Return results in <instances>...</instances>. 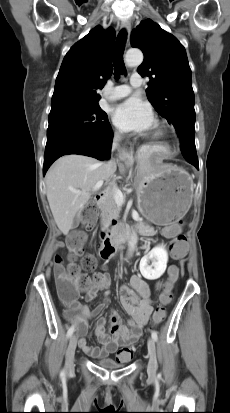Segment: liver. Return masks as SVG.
Returning <instances> with one entry per match:
<instances>
[{"label":"liver","mask_w":230,"mask_h":413,"mask_svg":"<svg viewBox=\"0 0 230 413\" xmlns=\"http://www.w3.org/2000/svg\"><path fill=\"white\" fill-rule=\"evenodd\" d=\"M104 162L95 158L70 154L59 158L46 174L47 199L55 223L67 235L75 215L90 199V191L102 180L108 182L114 172L104 168ZM88 192L76 194L71 190Z\"/></svg>","instance_id":"obj_1"}]
</instances>
